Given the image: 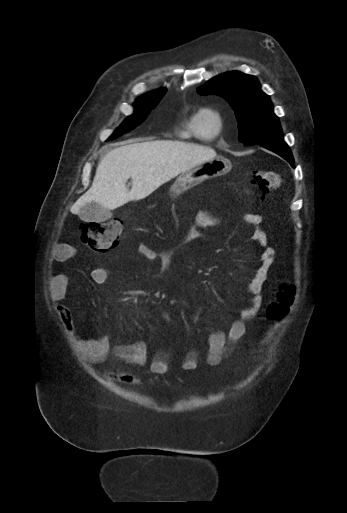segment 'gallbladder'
Segmentation results:
<instances>
[{"label": "gallbladder", "mask_w": 347, "mask_h": 513, "mask_svg": "<svg viewBox=\"0 0 347 513\" xmlns=\"http://www.w3.org/2000/svg\"><path fill=\"white\" fill-rule=\"evenodd\" d=\"M79 218L85 222H102L111 218L112 213L110 210L102 207L101 205L92 202L83 206L79 213Z\"/></svg>", "instance_id": "bac80fb5"}]
</instances>
